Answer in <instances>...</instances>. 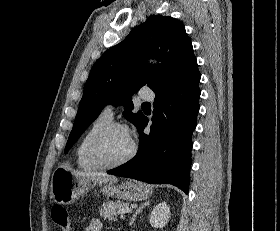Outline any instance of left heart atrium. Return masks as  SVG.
<instances>
[{
  "mask_svg": "<svg viewBox=\"0 0 280 231\" xmlns=\"http://www.w3.org/2000/svg\"><path fill=\"white\" fill-rule=\"evenodd\" d=\"M126 136H127V139L131 142L132 137H131V134L128 130L126 131Z\"/></svg>",
  "mask_w": 280,
  "mask_h": 231,
  "instance_id": "left-heart-atrium-1",
  "label": "left heart atrium"
}]
</instances>
